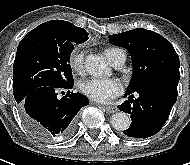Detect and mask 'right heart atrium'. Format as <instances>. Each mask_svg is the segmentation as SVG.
I'll list each match as a JSON object with an SVG mask.
<instances>
[{
    "label": "right heart atrium",
    "instance_id": "1",
    "mask_svg": "<svg viewBox=\"0 0 190 165\" xmlns=\"http://www.w3.org/2000/svg\"><path fill=\"white\" fill-rule=\"evenodd\" d=\"M70 66L71 68L80 73L84 66V52L80 50L74 51L70 56Z\"/></svg>",
    "mask_w": 190,
    "mask_h": 165
}]
</instances>
